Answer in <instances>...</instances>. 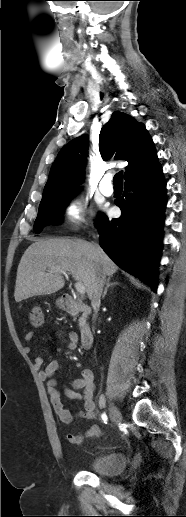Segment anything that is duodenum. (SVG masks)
<instances>
[{"mask_svg": "<svg viewBox=\"0 0 186 517\" xmlns=\"http://www.w3.org/2000/svg\"><path fill=\"white\" fill-rule=\"evenodd\" d=\"M62 305L66 313L81 314L80 339L83 348L88 349L93 341V332L87 323V319L92 313V308L89 305L74 300L69 294L62 296Z\"/></svg>", "mask_w": 186, "mask_h": 517, "instance_id": "1", "label": "duodenum"}]
</instances>
